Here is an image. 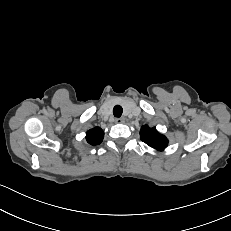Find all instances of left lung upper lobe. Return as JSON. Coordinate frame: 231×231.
Instances as JSON below:
<instances>
[{"mask_svg": "<svg viewBox=\"0 0 231 231\" xmlns=\"http://www.w3.org/2000/svg\"><path fill=\"white\" fill-rule=\"evenodd\" d=\"M140 138L143 142L157 150H164L168 144L167 138L160 134L155 127L150 128L147 125L141 127Z\"/></svg>", "mask_w": 231, "mask_h": 231, "instance_id": "left-lung-upper-lobe-1", "label": "left lung upper lobe"}]
</instances>
